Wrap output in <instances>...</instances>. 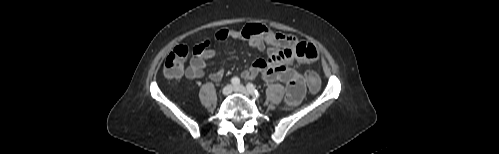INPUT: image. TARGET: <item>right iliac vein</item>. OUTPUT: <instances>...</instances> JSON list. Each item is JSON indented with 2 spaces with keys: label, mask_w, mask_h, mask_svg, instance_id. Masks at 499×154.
<instances>
[{
  "label": "right iliac vein",
  "mask_w": 499,
  "mask_h": 154,
  "mask_svg": "<svg viewBox=\"0 0 499 154\" xmlns=\"http://www.w3.org/2000/svg\"><path fill=\"white\" fill-rule=\"evenodd\" d=\"M233 91V86L232 85H226L223 90L222 94L223 95H229Z\"/></svg>",
  "instance_id": "obj_1"
}]
</instances>
